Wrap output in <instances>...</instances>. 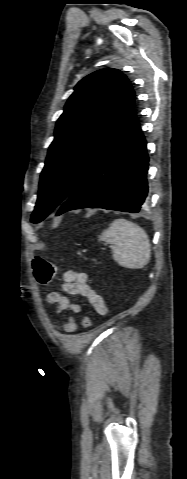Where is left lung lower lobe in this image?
<instances>
[{
    "label": "left lung lower lobe",
    "mask_w": 187,
    "mask_h": 479,
    "mask_svg": "<svg viewBox=\"0 0 187 479\" xmlns=\"http://www.w3.org/2000/svg\"><path fill=\"white\" fill-rule=\"evenodd\" d=\"M148 161L134 107L115 142L87 171L57 215L81 208L138 213L148 193Z\"/></svg>",
    "instance_id": "1"
}]
</instances>
